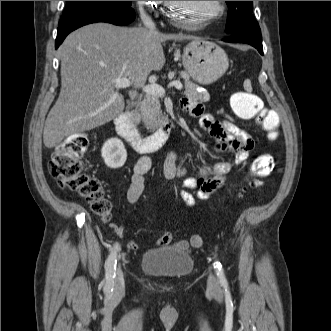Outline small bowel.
Instances as JSON below:
<instances>
[{"label":"small bowel","mask_w":331,"mask_h":331,"mask_svg":"<svg viewBox=\"0 0 331 331\" xmlns=\"http://www.w3.org/2000/svg\"><path fill=\"white\" fill-rule=\"evenodd\" d=\"M180 108L188 112L191 116L199 118V124L202 129L207 131L216 139L215 146L218 152H229L234 156L236 165H241L249 156L254 148V140L241 127L227 120H217L211 114L204 111L201 104L184 99L180 103ZM177 154L170 152L164 162V175L169 178H183L185 188L195 190L196 194L181 190L179 195L184 203L192 207L196 203V198L208 199L212 197L223 185L225 175L230 171L232 164L221 161L207 168H201L193 176L186 174L177 164ZM151 168V160L148 157L140 158L133 167V173L130 178V185L127 190V200L130 204H136L144 191V174ZM252 185L260 184L257 180L250 182ZM171 242V235L168 232L162 233L157 240V246H165ZM181 249L188 250L189 243L187 240H179L173 244ZM130 250H137L136 242L131 241L128 245Z\"/></svg>","instance_id":"obj_1"}]
</instances>
